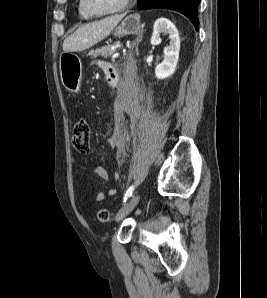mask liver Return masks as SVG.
Instances as JSON below:
<instances>
[{"label": "liver", "instance_id": "obj_1", "mask_svg": "<svg viewBox=\"0 0 267 298\" xmlns=\"http://www.w3.org/2000/svg\"><path fill=\"white\" fill-rule=\"evenodd\" d=\"M123 17L124 14L113 15L79 27L64 40L63 51L79 52L92 47L107 37Z\"/></svg>", "mask_w": 267, "mask_h": 298}]
</instances>
